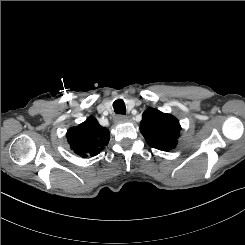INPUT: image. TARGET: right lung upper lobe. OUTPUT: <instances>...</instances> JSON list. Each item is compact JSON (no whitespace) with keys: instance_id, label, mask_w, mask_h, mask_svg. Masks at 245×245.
Listing matches in <instances>:
<instances>
[{"instance_id":"cb5924a9","label":"right lung upper lobe","mask_w":245,"mask_h":245,"mask_svg":"<svg viewBox=\"0 0 245 245\" xmlns=\"http://www.w3.org/2000/svg\"><path fill=\"white\" fill-rule=\"evenodd\" d=\"M71 149L82 158L95 156L109 142V131L90 116L84 123L71 127L66 134Z\"/></svg>"}]
</instances>
